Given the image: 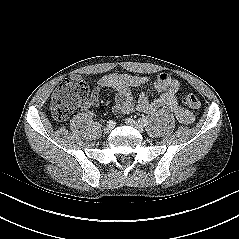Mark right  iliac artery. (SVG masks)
Returning <instances> with one entry per match:
<instances>
[{"label":"right iliac artery","mask_w":239,"mask_h":239,"mask_svg":"<svg viewBox=\"0 0 239 239\" xmlns=\"http://www.w3.org/2000/svg\"><path fill=\"white\" fill-rule=\"evenodd\" d=\"M108 123H109L110 126H115L116 125V120L115 119H110Z\"/></svg>","instance_id":"right-iliac-artery-1"}]
</instances>
